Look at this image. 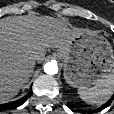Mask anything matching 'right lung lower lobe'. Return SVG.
Returning a JSON list of instances; mask_svg holds the SVG:
<instances>
[{
    "mask_svg": "<svg viewBox=\"0 0 114 114\" xmlns=\"http://www.w3.org/2000/svg\"><path fill=\"white\" fill-rule=\"evenodd\" d=\"M31 94H32V91H30L26 96L22 97L19 100H16V101H13L10 103H6L4 105H0V111L13 109V108H16V107L22 105L27 100L28 96H30Z\"/></svg>",
    "mask_w": 114,
    "mask_h": 114,
    "instance_id": "1",
    "label": "right lung lower lobe"
}]
</instances>
